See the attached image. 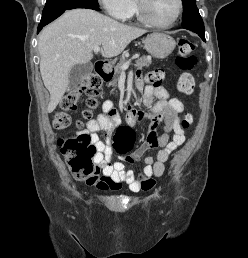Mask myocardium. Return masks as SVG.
Returning <instances> with one entry per match:
<instances>
[{"mask_svg": "<svg viewBox=\"0 0 248 258\" xmlns=\"http://www.w3.org/2000/svg\"><path fill=\"white\" fill-rule=\"evenodd\" d=\"M147 0H134V4H135V10H136V14L137 17L140 21H142L143 23L152 26V27H156V28H169L171 26H173L178 19L180 18L182 11H183V1L182 0H177V12L175 14V16L173 17V19L167 23H160L157 22L155 20H153L149 15H148V11H147Z\"/></svg>", "mask_w": 248, "mask_h": 258, "instance_id": "myocardium-1", "label": "myocardium"}]
</instances>
